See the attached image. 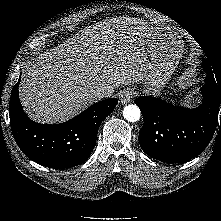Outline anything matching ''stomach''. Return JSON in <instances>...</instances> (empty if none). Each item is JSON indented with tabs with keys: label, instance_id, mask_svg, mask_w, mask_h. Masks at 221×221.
<instances>
[{
	"label": "stomach",
	"instance_id": "obj_1",
	"mask_svg": "<svg viewBox=\"0 0 221 221\" xmlns=\"http://www.w3.org/2000/svg\"><path fill=\"white\" fill-rule=\"evenodd\" d=\"M144 41L149 55L144 85L153 92H161L177 67L184 43L171 29L153 26L147 27Z\"/></svg>",
	"mask_w": 221,
	"mask_h": 221
}]
</instances>
